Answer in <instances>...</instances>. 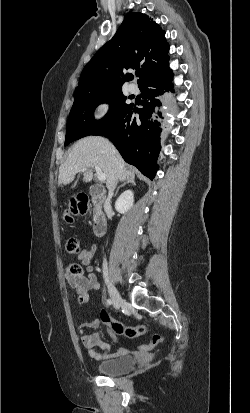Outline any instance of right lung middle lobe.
I'll use <instances>...</instances> for the list:
<instances>
[{
    "mask_svg": "<svg viewBox=\"0 0 250 413\" xmlns=\"http://www.w3.org/2000/svg\"><path fill=\"white\" fill-rule=\"evenodd\" d=\"M104 102L110 104L109 112L103 119L95 121L93 112L99 104ZM128 105L121 88L75 95L74 104L67 121L65 146L74 140L92 135L109 123Z\"/></svg>",
    "mask_w": 250,
    "mask_h": 413,
    "instance_id": "dd1d6c3e",
    "label": "right lung middle lobe"
}]
</instances>
